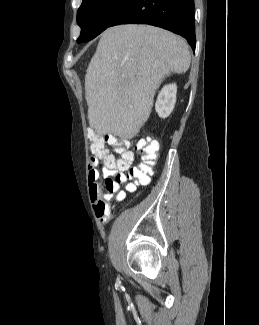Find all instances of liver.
<instances>
[{"label": "liver", "instance_id": "liver-1", "mask_svg": "<svg viewBox=\"0 0 259 325\" xmlns=\"http://www.w3.org/2000/svg\"><path fill=\"white\" fill-rule=\"evenodd\" d=\"M187 43L150 25H119L101 35L85 76L89 125L99 135L132 139L148 120L165 75L185 73Z\"/></svg>", "mask_w": 259, "mask_h": 325}]
</instances>
